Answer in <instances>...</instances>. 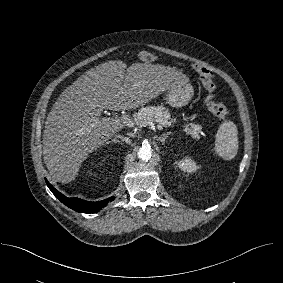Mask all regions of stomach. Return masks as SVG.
Segmentation results:
<instances>
[{
	"label": "stomach",
	"instance_id": "stomach-1",
	"mask_svg": "<svg viewBox=\"0 0 283 283\" xmlns=\"http://www.w3.org/2000/svg\"><path fill=\"white\" fill-rule=\"evenodd\" d=\"M194 95L193 87L186 81L181 80L173 85L165 94L168 105L179 108L187 105Z\"/></svg>",
	"mask_w": 283,
	"mask_h": 283
}]
</instances>
